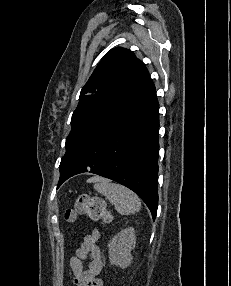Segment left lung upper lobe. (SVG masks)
<instances>
[{"label": "left lung upper lobe", "mask_w": 231, "mask_h": 286, "mask_svg": "<svg viewBox=\"0 0 231 286\" xmlns=\"http://www.w3.org/2000/svg\"><path fill=\"white\" fill-rule=\"evenodd\" d=\"M149 77L147 68L128 49H111L102 58L81 90L60 174L85 135Z\"/></svg>", "instance_id": "obj_1"}]
</instances>
